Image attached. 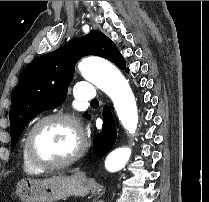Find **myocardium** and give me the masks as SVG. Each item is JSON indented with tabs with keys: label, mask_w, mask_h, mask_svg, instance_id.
I'll return each instance as SVG.
<instances>
[{
	"label": "myocardium",
	"mask_w": 209,
	"mask_h": 202,
	"mask_svg": "<svg viewBox=\"0 0 209 202\" xmlns=\"http://www.w3.org/2000/svg\"><path fill=\"white\" fill-rule=\"evenodd\" d=\"M49 121L66 122L70 124L72 127H74V129L78 133V144H77L75 151L69 157L61 161L53 162V163H48V162H43V161L38 160L34 156L33 151H32V138H33L34 133L41 125ZM85 147H86V137L77 118L67 113L56 112V113L48 114V115L41 117L32 125V127L29 129L26 135L25 144H24V152L28 161L37 169L57 170V169L65 168L71 165L72 163H74L75 161H77L84 153Z\"/></svg>",
	"instance_id": "1"
}]
</instances>
